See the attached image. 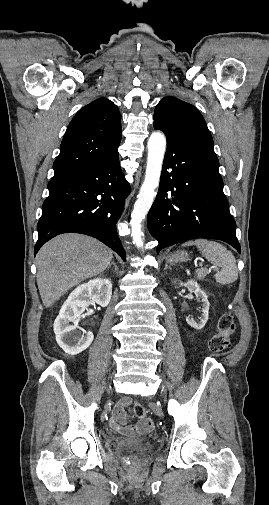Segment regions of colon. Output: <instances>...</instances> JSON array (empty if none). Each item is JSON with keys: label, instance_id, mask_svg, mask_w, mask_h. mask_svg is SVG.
<instances>
[{"label": "colon", "instance_id": "5ec220e1", "mask_svg": "<svg viewBox=\"0 0 269 505\" xmlns=\"http://www.w3.org/2000/svg\"><path fill=\"white\" fill-rule=\"evenodd\" d=\"M236 322L232 313H224L218 323V331L208 342V351L212 354L223 352L230 344L232 336L236 333ZM134 413L138 418H144L146 410L141 404L134 406Z\"/></svg>", "mask_w": 269, "mask_h": 505}]
</instances>
